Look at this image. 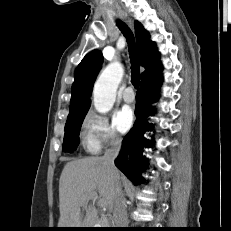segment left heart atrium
Wrapping results in <instances>:
<instances>
[{
	"mask_svg": "<svg viewBox=\"0 0 231 231\" xmlns=\"http://www.w3.org/2000/svg\"><path fill=\"white\" fill-rule=\"evenodd\" d=\"M134 121V115L129 107H123L115 116V125L120 132H127Z\"/></svg>",
	"mask_w": 231,
	"mask_h": 231,
	"instance_id": "left-heart-atrium-1",
	"label": "left heart atrium"
}]
</instances>
